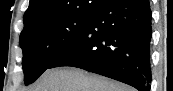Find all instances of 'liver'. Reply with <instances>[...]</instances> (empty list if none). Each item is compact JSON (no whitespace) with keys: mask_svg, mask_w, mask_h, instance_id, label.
Masks as SVG:
<instances>
[{"mask_svg":"<svg viewBox=\"0 0 173 91\" xmlns=\"http://www.w3.org/2000/svg\"><path fill=\"white\" fill-rule=\"evenodd\" d=\"M27 91H133V89L76 67H58L46 70Z\"/></svg>","mask_w":173,"mask_h":91,"instance_id":"1","label":"liver"}]
</instances>
